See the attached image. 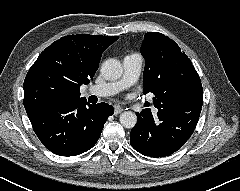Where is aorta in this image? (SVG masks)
Listing matches in <instances>:
<instances>
[{
  "mask_svg": "<svg viewBox=\"0 0 240 191\" xmlns=\"http://www.w3.org/2000/svg\"><path fill=\"white\" fill-rule=\"evenodd\" d=\"M101 73L107 80H117L123 73V67L119 60L109 58L103 62ZM120 123L125 128H133L137 123V116L131 111H125L120 115Z\"/></svg>",
  "mask_w": 240,
  "mask_h": 191,
  "instance_id": "obj_1",
  "label": "aorta"
}]
</instances>
